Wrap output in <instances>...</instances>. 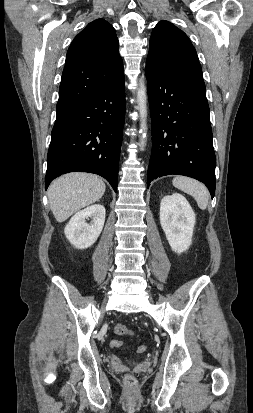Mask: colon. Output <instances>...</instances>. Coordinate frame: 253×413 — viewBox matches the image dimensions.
Listing matches in <instances>:
<instances>
[{
	"mask_svg": "<svg viewBox=\"0 0 253 413\" xmlns=\"http://www.w3.org/2000/svg\"><path fill=\"white\" fill-rule=\"evenodd\" d=\"M114 332H115V334H117V335H119V336H128V335H132V334H133L132 331L129 330L127 326H125L124 324H121V323H117V324L114 326ZM111 346H112L113 348H119V347L122 346V342L119 341V340H113L112 343H111ZM146 350H147V346H146V345H141V346H139L138 349H137V351L140 352V353L145 352ZM124 381H125V383H126L128 386H134L135 383H136L135 377H134L133 375H131V374H127V375L124 377Z\"/></svg>",
	"mask_w": 253,
	"mask_h": 413,
	"instance_id": "colon-1",
	"label": "colon"
}]
</instances>
